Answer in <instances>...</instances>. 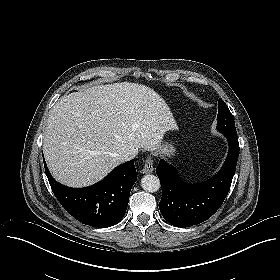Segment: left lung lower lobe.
Masks as SVG:
<instances>
[{"mask_svg": "<svg viewBox=\"0 0 280 280\" xmlns=\"http://www.w3.org/2000/svg\"><path fill=\"white\" fill-rule=\"evenodd\" d=\"M229 142L227 158L221 170L201 184H185L177 171L160 160L156 174L162 187L159 209L172 225L183 228L209 219L225 200L235 174L239 143L236 135H226Z\"/></svg>", "mask_w": 280, "mask_h": 280, "instance_id": "obj_1", "label": "left lung lower lobe"}]
</instances>
